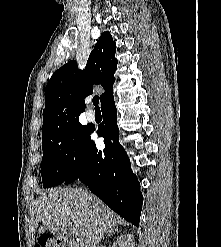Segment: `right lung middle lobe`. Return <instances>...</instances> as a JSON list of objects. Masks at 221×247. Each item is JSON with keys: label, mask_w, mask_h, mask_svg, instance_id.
Wrapping results in <instances>:
<instances>
[{"label": "right lung middle lobe", "mask_w": 221, "mask_h": 247, "mask_svg": "<svg viewBox=\"0 0 221 247\" xmlns=\"http://www.w3.org/2000/svg\"><path fill=\"white\" fill-rule=\"evenodd\" d=\"M90 134V127L75 122L43 137L40 167L44 188L57 186L67 179L84 157Z\"/></svg>", "instance_id": "obj_1"}]
</instances>
